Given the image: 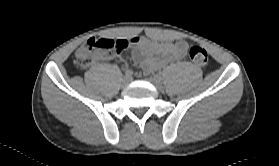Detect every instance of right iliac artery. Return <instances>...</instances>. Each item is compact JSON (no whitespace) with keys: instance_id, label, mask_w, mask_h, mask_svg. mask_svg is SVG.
I'll return each instance as SVG.
<instances>
[{"instance_id":"obj_1","label":"right iliac artery","mask_w":279,"mask_h":166,"mask_svg":"<svg viewBox=\"0 0 279 166\" xmlns=\"http://www.w3.org/2000/svg\"><path fill=\"white\" fill-rule=\"evenodd\" d=\"M132 74H133V71L132 70H126L125 71V76H127V77H131L132 76Z\"/></svg>"}]
</instances>
